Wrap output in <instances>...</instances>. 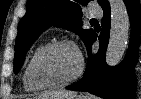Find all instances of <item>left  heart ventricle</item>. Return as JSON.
I'll return each instance as SVG.
<instances>
[{"label":"left heart ventricle","instance_id":"b2bd125f","mask_svg":"<svg viewBox=\"0 0 141 99\" xmlns=\"http://www.w3.org/2000/svg\"><path fill=\"white\" fill-rule=\"evenodd\" d=\"M79 67L75 49L58 47L40 58L35 67L36 76L47 82L63 81L73 76Z\"/></svg>","mask_w":141,"mask_h":99}]
</instances>
